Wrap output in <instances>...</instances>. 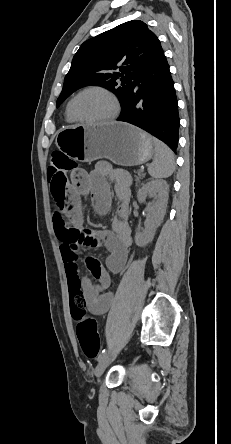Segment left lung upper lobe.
Masks as SVG:
<instances>
[{
	"instance_id": "5c2ea615",
	"label": "left lung upper lobe",
	"mask_w": 231,
	"mask_h": 444,
	"mask_svg": "<svg viewBox=\"0 0 231 444\" xmlns=\"http://www.w3.org/2000/svg\"><path fill=\"white\" fill-rule=\"evenodd\" d=\"M160 49L156 35L139 20L125 22L87 40L72 60L57 106L87 85L111 89L120 96L124 106L135 76ZM116 69L120 73L114 72Z\"/></svg>"
}]
</instances>
